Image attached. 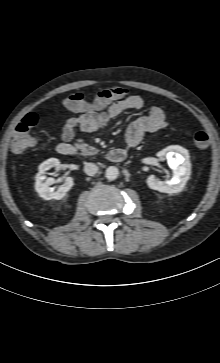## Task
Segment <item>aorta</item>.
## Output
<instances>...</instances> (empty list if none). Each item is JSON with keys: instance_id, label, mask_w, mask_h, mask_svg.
Listing matches in <instances>:
<instances>
[{"instance_id": "aorta-1", "label": "aorta", "mask_w": 220, "mask_h": 363, "mask_svg": "<svg viewBox=\"0 0 220 363\" xmlns=\"http://www.w3.org/2000/svg\"><path fill=\"white\" fill-rule=\"evenodd\" d=\"M105 176L108 180H115L119 176V170L115 166H109L105 171Z\"/></svg>"}]
</instances>
